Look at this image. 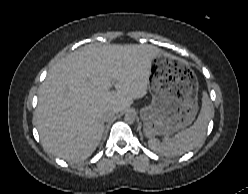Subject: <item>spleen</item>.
<instances>
[{
  "instance_id": "spleen-1",
  "label": "spleen",
  "mask_w": 248,
  "mask_h": 194,
  "mask_svg": "<svg viewBox=\"0 0 248 194\" xmlns=\"http://www.w3.org/2000/svg\"><path fill=\"white\" fill-rule=\"evenodd\" d=\"M213 108L206 92H203L202 107L196 122L188 129L182 130L174 137L160 142L152 137L148 141L149 148L167 157L182 155L199 145L206 134Z\"/></svg>"
}]
</instances>
